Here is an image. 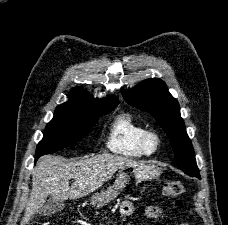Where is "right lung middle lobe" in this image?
Returning a JSON list of instances; mask_svg holds the SVG:
<instances>
[{"label": "right lung middle lobe", "mask_w": 228, "mask_h": 225, "mask_svg": "<svg viewBox=\"0 0 228 225\" xmlns=\"http://www.w3.org/2000/svg\"><path fill=\"white\" fill-rule=\"evenodd\" d=\"M116 106L94 107L79 104L57 106L54 117L47 124L44 137L37 146L35 156H43L75 145L87 135L101 115L111 112Z\"/></svg>", "instance_id": "obj_1"}]
</instances>
